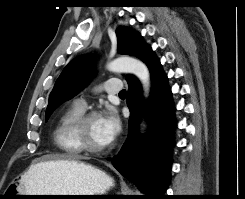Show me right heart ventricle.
Here are the masks:
<instances>
[{
	"mask_svg": "<svg viewBox=\"0 0 245 199\" xmlns=\"http://www.w3.org/2000/svg\"><path fill=\"white\" fill-rule=\"evenodd\" d=\"M84 110L76 105L68 107L60 116L54 129V141L57 147L68 155L75 156L82 152L73 135L74 122Z\"/></svg>",
	"mask_w": 245,
	"mask_h": 199,
	"instance_id": "e07e8e85",
	"label": "right heart ventricle"
}]
</instances>
